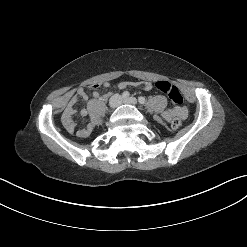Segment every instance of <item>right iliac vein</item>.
Masks as SVG:
<instances>
[{"label": "right iliac vein", "instance_id": "1", "mask_svg": "<svg viewBox=\"0 0 247 247\" xmlns=\"http://www.w3.org/2000/svg\"><path fill=\"white\" fill-rule=\"evenodd\" d=\"M121 96L118 94L113 95L109 100V107L115 109L121 104Z\"/></svg>", "mask_w": 247, "mask_h": 247}]
</instances>
